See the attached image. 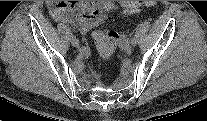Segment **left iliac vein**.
Returning a JSON list of instances; mask_svg holds the SVG:
<instances>
[{
  "instance_id": "1",
  "label": "left iliac vein",
  "mask_w": 207,
  "mask_h": 121,
  "mask_svg": "<svg viewBox=\"0 0 207 121\" xmlns=\"http://www.w3.org/2000/svg\"><path fill=\"white\" fill-rule=\"evenodd\" d=\"M131 47H132L131 44H126V45H125V49H130Z\"/></svg>"
}]
</instances>
